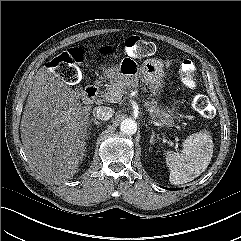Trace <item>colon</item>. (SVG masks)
I'll use <instances>...</instances> for the list:
<instances>
[{
	"label": "colon",
	"mask_w": 241,
	"mask_h": 241,
	"mask_svg": "<svg viewBox=\"0 0 241 241\" xmlns=\"http://www.w3.org/2000/svg\"><path fill=\"white\" fill-rule=\"evenodd\" d=\"M91 48H73L56 56L48 63V67L57 73L68 84H74L80 79L79 64L85 53L90 52ZM155 46L138 36H131L125 41V53L131 58L145 57L152 55ZM104 56L114 54L113 49L103 48L100 50ZM180 76L184 84L189 87L194 86V77L196 72L195 63L191 59H184L180 64ZM208 100L202 95H197L192 100V108L199 114H205L208 110Z\"/></svg>",
	"instance_id": "5ec220e1"
}]
</instances>
